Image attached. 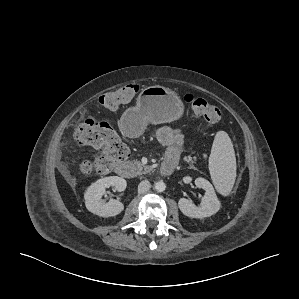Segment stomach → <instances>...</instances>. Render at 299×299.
Segmentation results:
<instances>
[{
	"label": "stomach",
	"mask_w": 299,
	"mask_h": 299,
	"mask_svg": "<svg viewBox=\"0 0 299 299\" xmlns=\"http://www.w3.org/2000/svg\"><path fill=\"white\" fill-rule=\"evenodd\" d=\"M184 112V105L177 93L163 86L142 89L136 106L128 108L122 116L126 134L139 136L148 123L161 124L178 120Z\"/></svg>",
	"instance_id": "0dacf381"
}]
</instances>
